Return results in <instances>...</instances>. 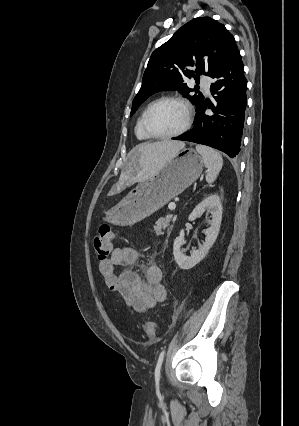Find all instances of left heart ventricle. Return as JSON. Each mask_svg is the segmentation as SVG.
Segmentation results:
<instances>
[{"label":"left heart ventricle","instance_id":"obj_1","mask_svg":"<svg viewBox=\"0 0 299 426\" xmlns=\"http://www.w3.org/2000/svg\"><path fill=\"white\" fill-rule=\"evenodd\" d=\"M186 112L176 102L158 105L150 115L149 126L156 134H170L178 131L185 123Z\"/></svg>","mask_w":299,"mask_h":426}]
</instances>
